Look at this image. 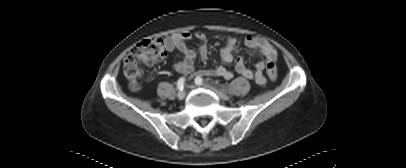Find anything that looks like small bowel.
Here are the masks:
<instances>
[{"label": "small bowel", "mask_w": 406, "mask_h": 168, "mask_svg": "<svg viewBox=\"0 0 406 168\" xmlns=\"http://www.w3.org/2000/svg\"><path fill=\"white\" fill-rule=\"evenodd\" d=\"M195 36L202 43L199 52L203 58H206L208 53L206 35L202 32H198ZM190 39L191 34L185 32L168 36L164 40L165 49L168 52L178 50L184 55V59L177 61L173 65L175 71L184 75L192 74L194 71L196 53L187 44ZM226 39L227 44L221 49L220 54L223 62L231 63L234 60V52H237V38L234 36H228ZM245 44L255 53L261 55L263 59L257 61L255 69L252 70L245 65L243 57L239 56L236 59L235 70L241 76L253 80L259 86H263L266 84V77L264 75L266 65L268 62L276 60V50L266 39L258 36H247L245 38ZM197 74L200 76L221 77L227 80L233 77V73L223 66H218L214 69L200 70Z\"/></svg>", "instance_id": "1"}]
</instances>
